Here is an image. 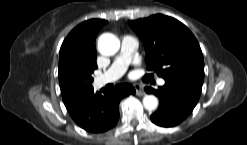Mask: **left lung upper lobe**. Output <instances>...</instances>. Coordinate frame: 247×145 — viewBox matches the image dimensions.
I'll list each match as a JSON object with an SVG mask.
<instances>
[{"label": "left lung upper lobe", "instance_id": "obj_1", "mask_svg": "<svg viewBox=\"0 0 247 145\" xmlns=\"http://www.w3.org/2000/svg\"><path fill=\"white\" fill-rule=\"evenodd\" d=\"M128 23L144 42L148 70H154L164 79L179 78L202 86V51L184 24L161 14Z\"/></svg>", "mask_w": 247, "mask_h": 145}]
</instances>
